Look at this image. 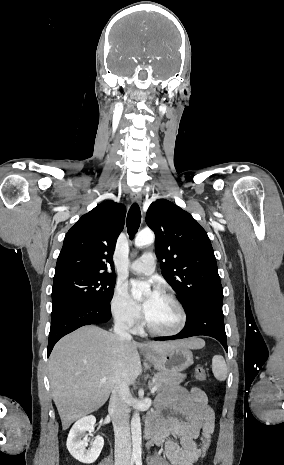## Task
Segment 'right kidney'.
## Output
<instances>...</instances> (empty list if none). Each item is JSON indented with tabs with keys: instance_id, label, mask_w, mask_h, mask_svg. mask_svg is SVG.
<instances>
[{
	"instance_id": "right-kidney-1",
	"label": "right kidney",
	"mask_w": 284,
	"mask_h": 465,
	"mask_svg": "<svg viewBox=\"0 0 284 465\" xmlns=\"http://www.w3.org/2000/svg\"><path fill=\"white\" fill-rule=\"evenodd\" d=\"M96 423L95 417L93 415H89V417H83V419H79L76 421L75 425H73L67 439V449L77 461L80 463H94L96 459H98L104 445L103 437H95V441H93L91 447L89 449H85L87 445V437L85 435L86 431H94V425ZM84 437V439H82Z\"/></svg>"
}]
</instances>
